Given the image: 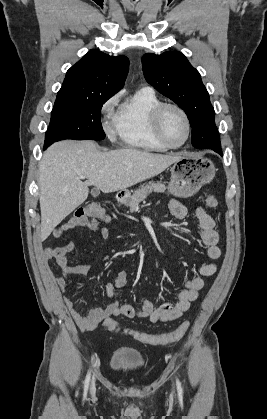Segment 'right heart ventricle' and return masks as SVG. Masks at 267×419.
<instances>
[{"mask_svg": "<svg viewBox=\"0 0 267 419\" xmlns=\"http://www.w3.org/2000/svg\"><path fill=\"white\" fill-rule=\"evenodd\" d=\"M160 103L161 99L148 87L140 88L126 98L113 118L114 129L123 143L147 151L168 150L156 138L151 125L152 112Z\"/></svg>", "mask_w": 267, "mask_h": 419, "instance_id": "obj_1", "label": "right heart ventricle"}]
</instances>
